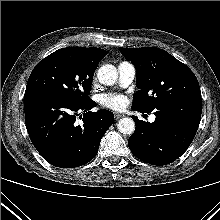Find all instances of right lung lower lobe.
Returning <instances> with one entry per match:
<instances>
[{
    "label": "right lung lower lobe",
    "mask_w": 220,
    "mask_h": 220,
    "mask_svg": "<svg viewBox=\"0 0 220 220\" xmlns=\"http://www.w3.org/2000/svg\"><path fill=\"white\" fill-rule=\"evenodd\" d=\"M95 102L87 99L74 103L64 97L27 92L24 95L25 123L37 151L50 164L75 168L91 161L97 154L101 138L113 124L109 110L89 111ZM83 111V125L75 123Z\"/></svg>",
    "instance_id": "1"
}]
</instances>
